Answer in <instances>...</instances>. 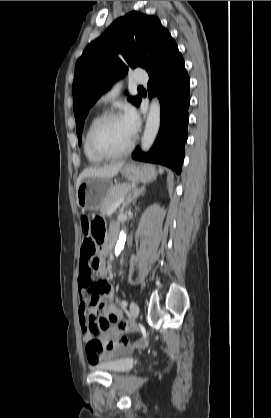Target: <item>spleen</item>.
I'll list each match as a JSON object with an SVG mask.
<instances>
[{"label":"spleen","mask_w":271,"mask_h":418,"mask_svg":"<svg viewBox=\"0 0 271 418\" xmlns=\"http://www.w3.org/2000/svg\"><path fill=\"white\" fill-rule=\"evenodd\" d=\"M163 171H164V170H163V168H162V167H160V168H159V172L162 174V173H163Z\"/></svg>","instance_id":"3e777b00"}]
</instances>
